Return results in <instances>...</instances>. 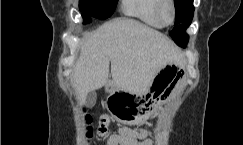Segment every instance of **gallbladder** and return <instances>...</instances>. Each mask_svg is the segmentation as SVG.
<instances>
[{
	"label": "gallbladder",
	"instance_id": "bac80fb5",
	"mask_svg": "<svg viewBox=\"0 0 243 145\" xmlns=\"http://www.w3.org/2000/svg\"><path fill=\"white\" fill-rule=\"evenodd\" d=\"M86 102L89 106H93L96 102V93L95 91H90L88 94H87V99H86Z\"/></svg>",
	"mask_w": 243,
	"mask_h": 145
}]
</instances>
